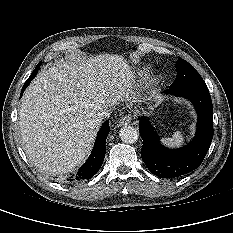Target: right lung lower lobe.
<instances>
[{"label": "right lung lower lobe", "mask_w": 233, "mask_h": 233, "mask_svg": "<svg viewBox=\"0 0 233 233\" xmlns=\"http://www.w3.org/2000/svg\"><path fill=\"white\" fill-rule=\"evenodd\" d=\"M38 70H39L38 68H35L33 73L30 75V77L25 82V84L22 88V91H21V96H22L24 90L27 88V86L31 82V80L36 76ZM109 132H110L109 121L107 120L102 124V126L97 134L93 150H92L88 160L85 162L84 165H82V167L79 169V171L76 175L69 177V179H67V180L80 181V180H84V179H90L91 177H93L97 173V171L100 169V167L104 161V157H105V153H106L105 143H106V138H107Z\"/></svg>", "instance_id": "obj_1"}]
</instances>
